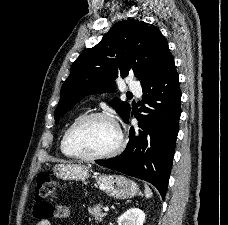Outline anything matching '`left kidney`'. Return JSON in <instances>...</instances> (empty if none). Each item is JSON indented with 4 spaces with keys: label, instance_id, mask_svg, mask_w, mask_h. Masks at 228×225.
<instances>
[{
    "label": "left kidney",
    "instance_id": "obj_1",
    "mask_svg": "<svg viewBox=\"0 0 228 225\" xmlns=\"http://www.w3.org/2000/svg\"><path fill=\"white\" fill-rule=\"evenodd\" d=\"M146 215L141 209H128L126 213H123L119 217L117 223L118 225H143L145 223Z\"/></svg>",
    "mask_w": 228,
    "mask_h": 225
}]
</instances>
